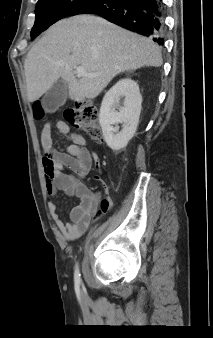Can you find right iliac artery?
<instances>
[{
    "mask_svg": "<svg viewBox=\"0 0 213 338\" xmlns=\"http://www.w3.org/2000/svg\"><path fill=\"white\" fill-rule=\"evenodd\" d=\"M74 281H75L76 285H79L81 283V278H80V273H79L78 265L76 266V269H75Z\"/></svg>",
    "mask_w": 213,
    "mask_h": 338,
    "instance_id": "1",
    "label": "right iliac artery"
}]
</instances>
